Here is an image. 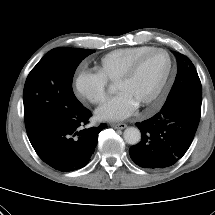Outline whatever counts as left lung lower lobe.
<instances>
[{"label": "left lung lower lobe", "mask_w": 215, "mask_h": 215, "mask_svg": "<svg viewBox=\"0 0 215 215\" xmlns=\"http://www.w3.org/2000/svg\"><path fill=\"white\" fill-rule=\"evenodd\" d=\"M200 108L184 100L165 102L153 117L136 123L141 141L131 146V159L138 166L161 169L175 164L190 147L196 133Z\"/></svg>", "instance_id": "0a47b994"}]
</instances>
